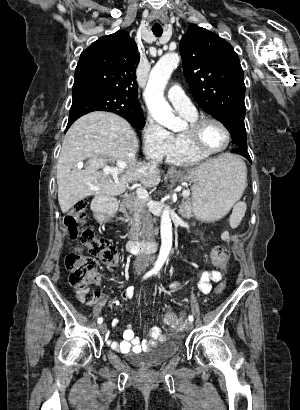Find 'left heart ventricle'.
<instances>
[{
	"instance_id": "1",
	"label": "left heart ventricle",
	"mask_w": 300,
	"mask_h": 410,
	"mask_svg": "<svg viewBox=\"0 0 300 410\" xmlns=\"http://www.w3.org/2000/svg\"><path fill=\"white\" fill-rule=\"evenodd\" d=\"M201 140L206 149L215 150L222 148L227 138L219 125L208 122L201 129Z\"/></svg>"
}]
</instances>
